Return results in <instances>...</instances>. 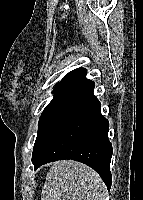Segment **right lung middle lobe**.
<instances>
[{
    "mask_svg": "<svg viewBox=\"0 0 143 200\" xmlns=\"http://www.w3.org/2000/svg\"><path fill=\"white\" fill-rule=\"evenodd\" d=\"M61 82H62V81H60L59 83H57V84H56V86H55L54 90H55L56 88H58V87H59V85L61 84Z\"/></svg>",
    "mask_w": 143,
    "mask_h": 200,
    "instance_id": "dd1d6c3e",
    "label": "right lung middle lobe"
}]
</instances>
